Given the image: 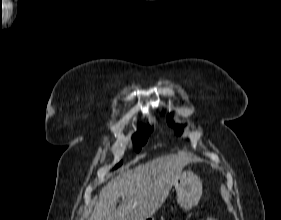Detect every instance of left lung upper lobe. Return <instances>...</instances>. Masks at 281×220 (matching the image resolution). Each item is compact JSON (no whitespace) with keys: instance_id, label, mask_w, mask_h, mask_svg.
Wrapping results in <instances>:
<instances>
[{"instance_id":"obj_1","label":"left lung upper lobe","mask_w":281,"mask_h":220,"mask_svg":"<svg viewBox=\"0 0 281 220\" xmlns=\"http://www.w3.org/2000/svg\"><path fill=\"white\" fill-rule=\"evenodd\" d=\"M168 124L171 125L172 127H175V132L177 134H181L182 133V127L178 126V125H174L170 115L168 116Z\"/></svg>"}]
</instances>
